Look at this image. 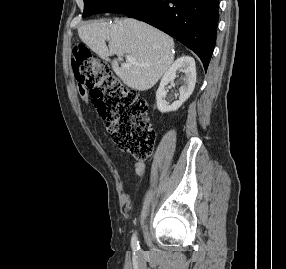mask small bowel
<instances>
[{
	"label": "small bowel",
	"mask_w": 286,
	"mask_h": 269,
	"mask_svg": "<svg viewBox=\"0 0 286 269\" xmlns=\"http://www.w3.org/2000/svg\"><path fill=\"white\" fill-rule=\"evenodd\" d=\"M81 95L84 96V93L80 91ZM133 168L137 176L141 177L145 172V164L143 162H135Z\"/></svg>",
	"instance_id": "1"
}]
</instances>
